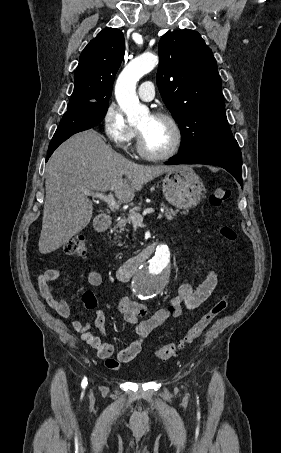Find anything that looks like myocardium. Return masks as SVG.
I'll return each mask as SVG.
<instances>
[{
  "mask_svg": "<svg viewBox=\"0 0 281 453\" xmlns=\"http://www.w3.org/2000/svg\"><path fill=\"white\" fill-rule=\"evenodd\" d=\"M150 116L154 119L161 120V121L167 123L171 127L173 136H174L173 142H172L169 150L166 151L165 153L158 154V153L150 152L145 147L144 138H143L141 131L139 129H137V131H138L137 151L142 157H144L148 160H154V161L167 160V159L173 157L179 149V146L182 141L181 129H180L178 123L175 121V119H173L171 116H169L167 114L154 113V114H151Z\"/></svg>",
  "mask_w": 281,
  "mask_h": 453,
  "instance_id": "f54148a6",
  "label": "myocardium"
}]
</instances>
